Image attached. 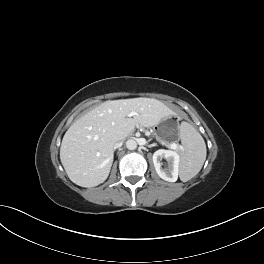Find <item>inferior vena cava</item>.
I'll list each match as a JSON object with an SVG mask.
<instances>
[{
    "label": "inferior vena cava",
    "mask_w": 264,
    "mask_h": 264,
    "mask_svg": "<svg viewBox=\"0 0 264 264\" xmlns=\"http://www.w3.org/2000/svg\"><path fill=\"white\" fill-rule=\"evenodd\" d=\"M121 145H122V141H121V140H117V141L114 143V149L119 148Z\"/></svg>",
    "instance_id": "602c4592"
}]
</instances>
